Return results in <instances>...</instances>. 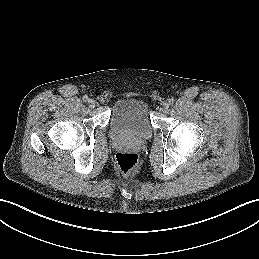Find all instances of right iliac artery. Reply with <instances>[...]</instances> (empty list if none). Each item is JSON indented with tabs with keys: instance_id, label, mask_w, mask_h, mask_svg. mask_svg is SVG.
<instances>
[{
	"instance_id": "obj_1",
	"label": "right iliac artery",
	"mask_w": 259,
	"mask_h": 259,
	"mask_svg": "<svg viewBox=\"0 0 259 259\" xmlns=\"http://www.w3.org/2000/svg\"><path fill=\"white\" fill-rule=\"evenodd\" d=\"M83 100H84L85 102H88V101H89V97H88L87 95H85V96H83Z\"/></svg>"
}]
</instances>
